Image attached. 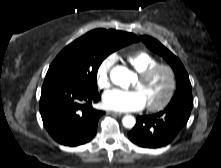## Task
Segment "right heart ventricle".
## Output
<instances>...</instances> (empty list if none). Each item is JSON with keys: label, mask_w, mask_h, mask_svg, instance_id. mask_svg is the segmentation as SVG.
Wrapping results in <instances>:
<instances>
[{"label": "right heart ventricle", "mask_w": 221, "mask_h": 168, "mask_svg": "<svg viewBox=\"0 0 221 168\" xmlns=\"http://www.w3.org/2000/svg\"><path fill=\"white\" fill-rule=\"evenodd\" d=\"M127 61L139 74L159 63L155 56L146 51H139L128 55Z\"/></svg>", "instance_id": "right-heart-ventricle-1"}]
</instances>
